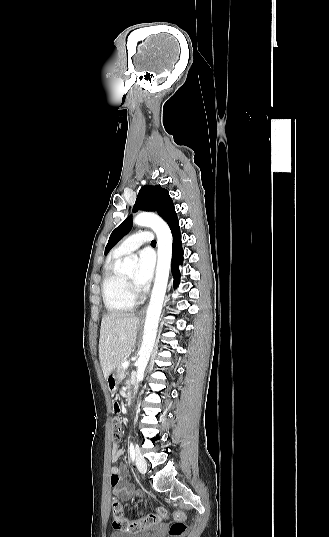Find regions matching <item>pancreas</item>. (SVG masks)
Instances as JSON below:
<instances>
[{
  "mask_svg": "<svg viewBox=\"0 0 329 537\" xmlns=\"http://www.w3.org/2000/svg\"><path fill=\"white\" fill-rule=\"evenodd\" d=\"M123 363H124V359H122L117 365L116 376L118 380L123 379L126 375L125 369H123L122 367Z\"/></svg>",
  "mask_w": 329,
  "mask_h": 537,
  "instance_id": "1",
  "label": "pancreas"
}]
</instances>
